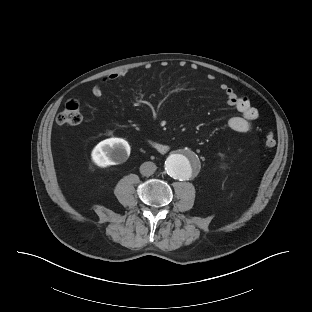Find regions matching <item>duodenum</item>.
Listing matches in <instances>:
<instances>
[{"label": "duodenum", "instance_id": "1", "mask_svg": "<svg viewBox=\"0 0 312 312\" xmlns=\"http://www.w3.org/2000/svg\"><path fill=\"white\" fill-rule=\"evenodd\" d=\"M150 144L157 152H160V153H165L169 150L168 145L154 141V140L150 141Z\"/></svg>", "mask_w": 312, "mask_h": 312}]
</instances>
